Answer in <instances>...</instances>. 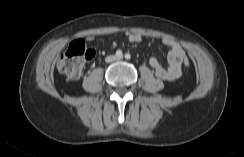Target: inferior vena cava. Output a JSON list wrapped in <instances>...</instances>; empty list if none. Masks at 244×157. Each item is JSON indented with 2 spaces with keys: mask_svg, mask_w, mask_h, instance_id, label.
<instances>
[{
  "mask_svg": "<svg viewBox=\"0 0 244 157\" xmlns=\"http://www.w3.org/2000/svg\"><path fill=\"white\" fill-rule=\"evenodd\" d=\"M113 60H115V57L114 56H109V57L106 58V61L107 62H111Z\"/></svg>",
  "mask_w": 244,
  "mask_h": 157,
  "instance_id": "inferior-vena-cava-1",
  "label": "inferior vena cava"
}]
</instances>
